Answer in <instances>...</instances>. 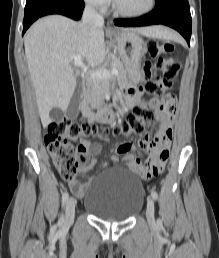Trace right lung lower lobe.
<instances>
[{"mask_svg":"<svg viewBox=\"0 0 219 258\" xmlns=\"http://www.w3.org/2000/svg\"><path fill=\"white\" fill-rule=\"evenodd\" d=\"M83 9L84 2L82 0H39L32 6L25 8L23 34L39 17L61 14L74 20H79Z\"/></svg>","mask_w":219,"mask_h":258,"instance_id":"right-lung-lower-lobe-1","label":"right lung lower lobe"}]
</instances>
